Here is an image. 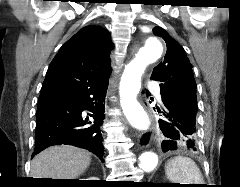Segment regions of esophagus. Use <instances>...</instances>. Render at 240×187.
Here are the masks:
<instances>
[{"label": "esophagus", "mask_w": 240, "mask_h": 187, "mask_svg": "<svg viewBox=\"0 0 240 187\" xmlns=\"http://www.w3.org/2000/svg\"><path fill=\"white\" fill-rule=\"evenodd\" d=\"M137 50H138V45H133V47L131 48V54L134 55L137 52ZM137 145L139 148L142 149V148H146L149 144L146 139H143V137L139 136Z\"/></svg>", "instance_id": "obj_1"}]
</instances>
